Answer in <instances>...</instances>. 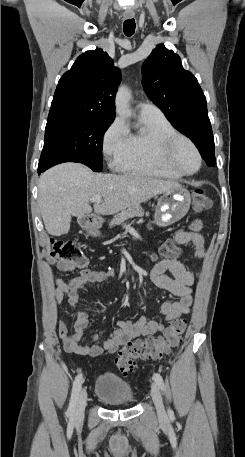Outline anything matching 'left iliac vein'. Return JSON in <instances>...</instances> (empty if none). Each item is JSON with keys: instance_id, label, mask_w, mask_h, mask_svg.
Returning a JSON list of instances; mask_svg holds the SVG:
<instances>
[{"instance_id": "left-iliac-vein-1", "label": "left iliac vein", "mask_w": 245, "mask_h": 457, "mask_svg": "<svg viewBox=\"0 0 245 457\" xmlns=\"http://www.w3.org/2000/svg\"><path fill=\"white\" fill-rule=\"evenodd\" d=\"M151 396H152V400L154 401L159 419H165L166 412H165V408H164V404H163V399H162L159 387L155 383L152 384Z\"/></svg>"}]
</instances>
